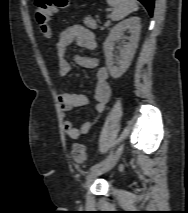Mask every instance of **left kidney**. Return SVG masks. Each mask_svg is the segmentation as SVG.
I'll return each instance as SVG.
<instances>
[{
    "instance_id": "5707ae66",
    "label": "left kidney",
    "mask_w": 188,
    "mask_h": 213,
    "mask_svg": "<svg viewBox=\"0 0 188 213\" xmlns=\"http://www.w3.org/2000/svg\"><path fill=\"white\" fill-rule=\"evenodd\" d=\"M129 30L131 36L129 42L123 45L120 56L121 60L118 62V67L114 65L113 61V47L114 42L118 39L124 38V31ZM141 25L138 17H130L115 25L106 38L103 49L106 57V65L109 69L110 75L117 79L121 77L129 68L138 47L140 37Z\"/></svg>"
}]
</instances>
